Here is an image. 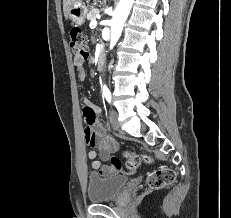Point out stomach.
<instances>
[{
	"label": "stomach",
	"instance_id": "0dacf381",
	"mask_svg": "<svg viewBox=\"0 0 231 218\" xmlns=\"http://www.w3.org/2000/svg\"><path fill=\"white\" fill-rule=\"evenodd\" d=\"M88 13V9L82 0L75 1L69 11L68 17L75 25H82L85 21L86 15Z\"/></svg>",
	"mask_w": 231,
	"mask_h": 218
}]
</instances>
